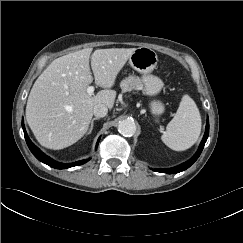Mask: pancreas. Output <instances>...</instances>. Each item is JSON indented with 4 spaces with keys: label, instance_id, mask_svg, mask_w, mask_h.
Wrapping results in <instances>:
<instances>
[{
    "label": "pancreas",
    "instance_id": "pancreas-1",
    "mask_svg": "<svg viewBox=\"0 0 243 243\" xmlns=\"http://www.w3.org/2000/svg\"><path fill=\"white\" fill-rule=\"evenodd\" d=\"M122 92H130L133 90H143V84L138 76L130 75L120 83Z\"/></svg>",
    "mask_w": 243,
    "mask_h": 243
}]
</instances>
